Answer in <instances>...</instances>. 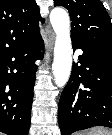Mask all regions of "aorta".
<instances>
[{
  "mask_svg": "<svg viewBox=\"0 0 112 135\" xmlns=\"http://www.w3.org/2000/svg\"><path fill=\"white\" fill-rule=\"evenodd\" d=\"M50 22L56 34L52 70L55 84L64 87L70 77L72 67V47L70 38V18L66 10L54 8Z\"/></svg>",
  "mask_w": 112,
  "mask_h": 135,
  "instance_id": "1",
  "label": "aorta"
}]
</instances>
